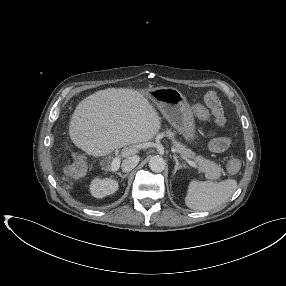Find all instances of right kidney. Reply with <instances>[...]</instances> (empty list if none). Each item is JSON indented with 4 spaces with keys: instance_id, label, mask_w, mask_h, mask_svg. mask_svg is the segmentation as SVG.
Listing matches in <instances>:
<instances>
[{
    "instance_id": "1",
    "label": "right kidney",
    "mask_w": 286,
    "mask_h": 286,
    "mask_svg": "<svg viewBox=\"0 0 286 286\" xmlns=\"http://www.w3.org/2000/svg\"><path fill=\"white\" fill-rule=\"evenodd\" d=\"M118 190V182L110 178H95L90 185L91 194L95 198H103Z\"/></svg>"
}]
</instances>
